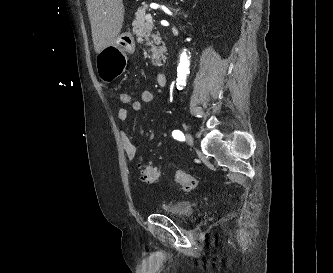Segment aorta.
I'll return each mask as SVG.
<instances>
[{
  "instance_id": "1",
  "label": "aorta",
  "mask_w": 333,
  "mask_h": 273,
  "mask_svg": "<svg viewBox=\"0 0 333 273\" xmlns=\"http://www.w3.org/2000/svg\"><path fill=\"white\" fill-rule=\"evenodd\" d=\"M190 61L186 50L180 55V63L178 66V82L180 85L184 86L186 84V78L189 73Z\"/></svg>"
}]
</instances>
